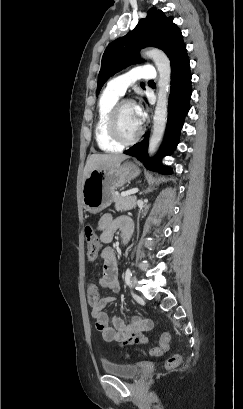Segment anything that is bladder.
<instances>
[{
    "label": "bladder",
    "instance_id": "1",
    "mask_svg": "<svg viewBox=\"0 0 243 409\" xmlns=\"http://www.w3.org/2000/svg\"><path fill=\"white\" fill-rule=\"evenodd\" d=\"M102 368L105 373L124 379H134L141 370L139 364L114 363L109 361H104Z\"/></svg>",
    "mask_w": 243,
    "mask_h": 409
}]
</instances>
